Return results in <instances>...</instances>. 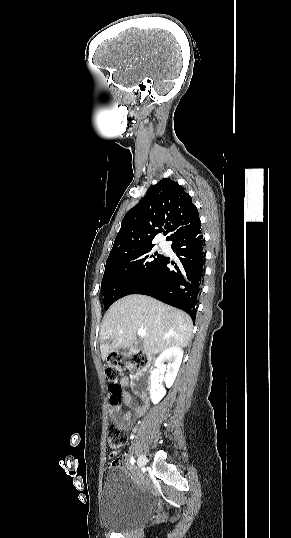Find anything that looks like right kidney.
Segmentation results:
<instances>
[{
	"label": "right kidney",
	"instance_id": "ca27d5eb",
	"mask_svg": "<svg viewBox=\"0 0 291 538\" xmlns=\"http://www.w3.org/2000/svg\"><path fill=\"white\" fill-rule=\"evenodd\" d=\"M182 358V348L172 346L164 350L156 359L155 368L151 373L150 379V397L154 404H158L166 394V390L162 386V381H165L168 388L174 383ZM165 372L166 376L164 377Z\"/></svg>",
	"mask_w": 291,
	"mask_h": 538
}]
</instances>
